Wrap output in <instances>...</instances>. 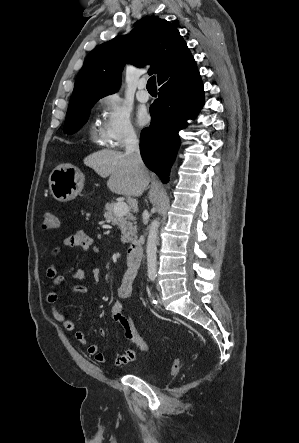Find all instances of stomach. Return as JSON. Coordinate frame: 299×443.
<instances>
[{
  "mask_svg": "<svg viewBox=\"0 0 299 443\" xmlns=\"http://www.w3.org/2000/svg\"><path fill=\"white\" fill-rule=\"evenodd\" d=\"M84 187V175L75 166L65 164L57 166L49 176V189L59 202L74 199Z\"/></svg>",
  "mask_w": 299,
  "mask_h": 443,
  "instance_id": "0dacf381",
  "label": "stomach"
}]
</instances>
